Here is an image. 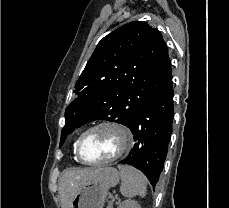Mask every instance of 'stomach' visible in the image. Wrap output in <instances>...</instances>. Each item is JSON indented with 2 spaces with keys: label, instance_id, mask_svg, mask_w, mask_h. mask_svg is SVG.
<instances>
[{
  "label": "stomach",
  "instance_id": "stomach-1",
  "mask_svg": "<svg viewBox=\"0 0 229 208\" xmlns=\"http://www.w3.org/2000/svg\"><path fill=\"white\" fill-rule=\"evenodd\" d=\"M120 174L115 168L102 170L101 178L83 182L77 188L70 208H103L109 188L119 184Z\"/></svg>",
  "mask_w": 229,
  "mask_h": 208
}]
</instances>
